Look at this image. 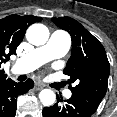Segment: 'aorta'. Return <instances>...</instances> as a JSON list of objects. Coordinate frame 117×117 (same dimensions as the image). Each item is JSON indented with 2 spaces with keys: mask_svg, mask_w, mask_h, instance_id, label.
Instances as JSON below:
<instances>
[{
  "mask_svg": "<svg viewBox=\"0 0 117 117\" xmlns=\"http://www.w3.org/2000/svg\"><path fill=\"white\" fill-rule=\"evenodd\" d=\"M26 38L29 43L35 46L44 45L48 41L49 30L43 24H32L26 31ZM39 99L44 106H51L55 103L56 95L50 89H43L39 93Z\"/></svg>",
  "mask_w": 117,
  "mask_h": 117,
  "instance_id": "1",
  "label": "aorta"
}]
</instances>
